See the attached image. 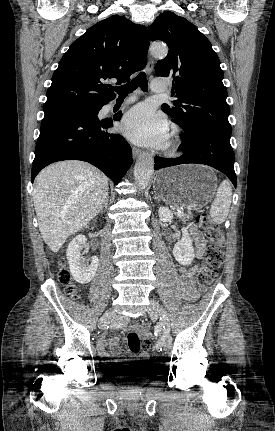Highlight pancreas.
I'll return each mask as SVG.
<instances>
[{"label":"pancreas","instance_id":"1","mask_svg":"<svg viewBox=\"0 0 275 431\" xmlns=\"http://www.w3.org/2000/svg\"><path fill=\"white\" fill-rule=\"evenodd\" d=\"M191 218H192V215H182V216H179V219H180L182 222H187V221H189Z\"/></svg>","mask_w":275,"mask_h":431}]
</instances>
